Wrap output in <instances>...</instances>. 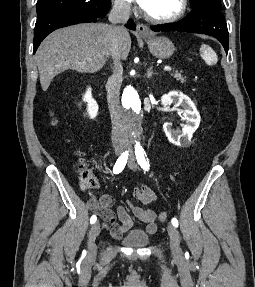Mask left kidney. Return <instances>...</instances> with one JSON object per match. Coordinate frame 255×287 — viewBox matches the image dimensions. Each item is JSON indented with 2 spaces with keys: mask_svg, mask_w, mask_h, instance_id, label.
I'll return each mask as SVG.
<instances>
[{
  "mask_svg": "<svg viewBox=\"0 0 255 287\" xmlns=\"http://www.w3.org/2000/svg\"><path fill=\"white\" fill-rule=\"evenodd\" d=\"M161 100L164 108H169L171 104H175V108L177 106L183 108L181 110L183 112L182 120H186V124L182 126V132L171 130L172 124H168V122L164 124L163 130L171 144L182 145L184 147V145L191 142V138L200 124V114L197 112V108L194 106L192 100L188 96H185V94H182V92H169V94H164Z\"/></svg>",
  "mask_w": 255,
  "mask_h": 287,
  "instance_id": "5707ae66",
  "label": "left kidney"
}]
</instances>
